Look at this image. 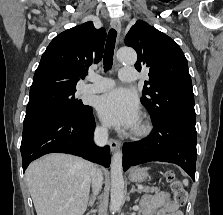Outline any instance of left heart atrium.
Instances as JSON below:
<instances>
[{
  "instance_id": "1",
  "label": "left heart atrium",
  "mask_w": 223,
  "mask_h": 215,
  "mask_svg": "<svg viewBox=\"0 0 223 215\" xmlns=\"http://www.w3.org/2000/svg\"><path fill=\"white\" fill-rule=\"evenodd\" d=\"M96 107L101 119L109 126L130 127L138 120V99L127 89L120 88L99 96Z\"/></svg>"
}]
</instances>
